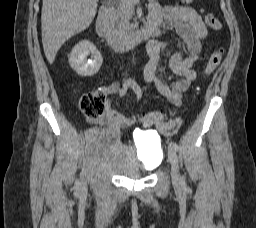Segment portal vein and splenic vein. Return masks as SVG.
Returning a JSON list of instances; mask_svg holds the SVG:
<instances>
[{
  "label": "portal vein and splenic vein",
  "instance_id": "18ae733b",
  "mask_svg": "<svg viewBox=\"0 0 256 228\" xmlns=\"http://www.w3.org/2000/svg\"><path fill=\"white\" fill-rule=\"evenodd\" d=\"M121 1H127V2H134V3H139L140 0H121Z\"/></svg>",
  "mask_w": 256,
  "mask_h": 228
}]
</instances>
